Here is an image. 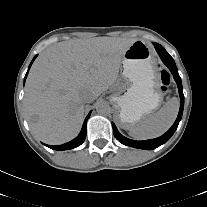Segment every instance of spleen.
<instances>
[{
	"label": "spleen",
	"mask_w": 207,
	"mask_h": 207,
	"mask_svg": "<svg viewBox=\"0 0 207 207\" xmlns=\"http://www.w3.org/2000/svg\"><path fill=\"white\" fill-rule=\"evenodd\" d=\"M179 110V100L176 97L168 100L154 114L129 129V135L139 140L155 138L165 133L174 123Z\"/></svg>",
	"instance_id": "1"
}]
</instances>
